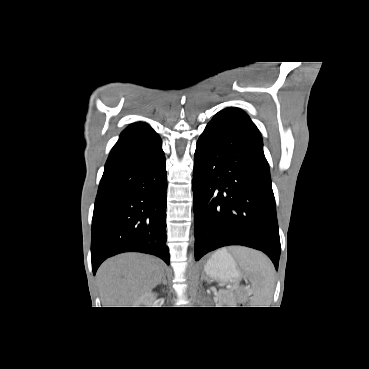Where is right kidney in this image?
<instances>
[{
    "mask_svg": "<svg viewBox=\"0 0 369 369\" xmlns=\"http://www.w3.org/2000/svg\"><path fill=\"white\" fill-rule=\"evenodd\" d=\"M155 299V294L151 292L145 293L134 302V307H150Z\"/></svg>",
    "mask_w": 369,
    "mask_h": 369,
    "instance_id": "1",
    "label": "right kidney"
}]
</instances>
